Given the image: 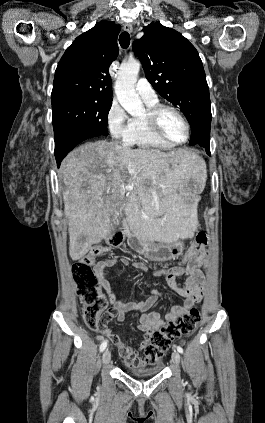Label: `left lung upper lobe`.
<instances>
[{
    "instance_id": "left-lung-upper-lobe-1",
    "label": "left lung upper lobe",
    "mask_w": 265,
    "mask_h": 423,
    "mask_svg": "<svg viewBox=\"0 0 265 423\" xmlns=\"http://www.w3.org/2000/svg\"><path fill=\"white\" fill-rule=\"evenodd\" d=\"M143 32L133 50L146 78L185 114L192 129L190 144H197L211 124L209 88L199 54L179 32L158 22L144 27Z\"/></svg>"
}]
</instances>
